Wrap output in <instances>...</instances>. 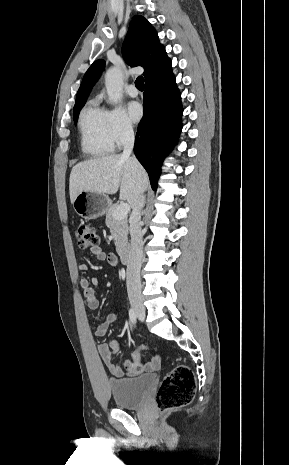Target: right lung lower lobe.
Returning a JSON list of instances; mask_svg holds the SVG:
<instances>
[{
  "label": "right lung lower lobe",
  "mask_w": 289,
  "mask_h": 465,
  "mask_svg": "<svg viewBox=\"0 0 289 465\" xmlns=\"http://www.w3.org/2000/svg\"><path fill=\"white\" fill-rule=\"evenodd\" d=\"M144 116L137 129L134 153L157 188L163 158L176 144L182 128L180 92L172 75L145 84Z\"/></svg>",
  "instance_id": "1"
}]
</instances>
